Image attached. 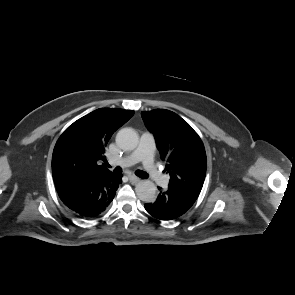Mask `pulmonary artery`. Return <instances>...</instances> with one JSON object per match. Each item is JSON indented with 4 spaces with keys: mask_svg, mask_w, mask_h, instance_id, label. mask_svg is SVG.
Wrapping results in <instances>:
<instances>
[{
    "mask_svg": "<svg viewBox=\"0 0 295 295\" xmlns=\"http://www.w3.org/2000/svg\"><path fill=\"white\" fill-rule=\"evenodd\" d=\"M155 142L154 137L149 132H144L140 137V142L135 151L130 155L113 161V164L128 167L138 162H142L144 168L151 179L158 185L165 186L168 183V177L163 175L154 163Z\"/></svg>",
    "mask_w": 295,
    "mask_h": 295,
    "instance_id": "1",
    "label": "pulmonary artery"
}]
</instances>
